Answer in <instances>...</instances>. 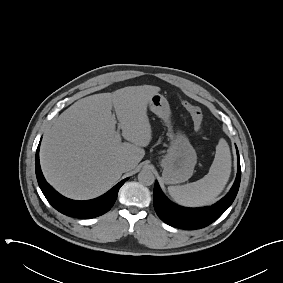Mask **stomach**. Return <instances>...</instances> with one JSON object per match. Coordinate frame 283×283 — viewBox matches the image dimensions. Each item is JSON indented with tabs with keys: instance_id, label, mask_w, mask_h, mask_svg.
Here are the masks:
<instances>
[{
	"instance_id": "obj_1",
	"label": "stomach",
	"mask_w": 283,
	"mask_h": 283,
	"mask_svg": "<svg viewBox=\"0 0 283 283\" xmlns=\"http://www.w3.org/2000/svg\"><path fill=\"white\" fill-rule=\"evenodd\" d=\"M149 107L168 127L170 147L161 160L163 180L166 184L185 182L192 176L197 162L195 149L185 134L181 131L173 132L170 106L163 95L154 94L149 101Z\"/></svg>"
}]
</instances>
